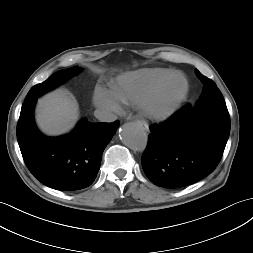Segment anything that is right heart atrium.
Masks as SVG:
<instances>
[{
  "instance_id": "obj_1",
  "label": "right heart atrium",
  "mask_w": 253,
  "mask_h": 253,
  "mask_svg": "<svg viewBox=\"0 0 253 253\" xmlns=\"http://www.w3.org/2000/svg\"><path fill=\"white\" fill-rule=\"evenodd\" d=\"M93 102L98 107L108 112H119V102L114 98L111 91L97 86L93 94Z\"/></svg>"
}]
</instances>
